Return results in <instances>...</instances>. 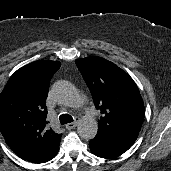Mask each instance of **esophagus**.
<instances>
[{
  "label": "esophagus",
  "instance_id": "34e87169",
  "mask_svg": "<svg viewBox=\"0 0 171 171\" xmlns=\"http://www.w3.org/2000/svg\"><path fill=\"white\" fill-rule=\"evenodd\" d=\"M77 123H78V120H75L72 123L66 124L65 127H66V129L70 130V129L74 128L77 125Z\"/></svg>",
  "mask_w": 171,
  "mask_h": 171
}]
</instances>
